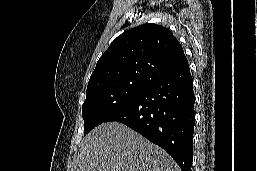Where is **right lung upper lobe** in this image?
Instances as JSON below:
<instances>
[{
    "label": "right lung upper lobe",
    "instance_id": "right-lung-upper-lobe-1",
    "mask_svg": "<svg viewBox=\"0 0 257 171\" xmlns=\"http://www.w3.org/2000/svg\"><path fill=\"white\" fill-rule=\"evenodd\" d=\"M188 65L171 31L143 24L118 36L98 60L87 90L114 83L150 85Z\"/></svg>",
    "mask_w": 257,
    "mask_h": 171
}]
</instances>
